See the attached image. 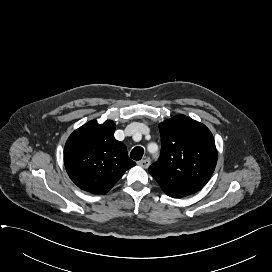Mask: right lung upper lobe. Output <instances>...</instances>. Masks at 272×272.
Here are the masks:
<instances>
[{"instance_id": "obj_1", "label": "right lung upper lobe", "mask_w": 272, "mask_h": 272, "mask_svg": "<svg viewBox=\"0 0 272 272\" xmlns=\"http://www.w3.org/2000/svg\"><path fill=\"white\" fill-rule=\"evenodd\" d=\"M111 120L98 124L95 120L75 130L64 148V164L71 180L82 190L104 194L135 166L126 146L114 138Z\"/></svg>"}]
</instances>
